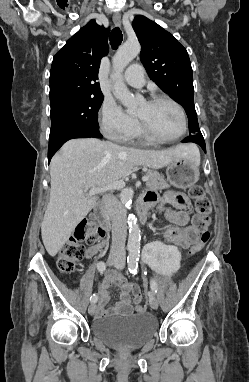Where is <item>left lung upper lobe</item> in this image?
<instances>
[{"mask_svg": "<svg viewBox=\"0 0 249 382\" xmlns=\"http://www.w3.org/2000/svg\"><path fill=\"white\" fill-rule=\"evenodd\" d=\"M133 29L141 44L140 60L149 77L185 109L190 135L201 134L193 96L192 67L186 49L161 26L136 16Z\"/></svg>", "mask_w": 249, "mask_h": 382, "instance_id": "obj_1", "label": "left lung upper lobe"}]
</instances>
